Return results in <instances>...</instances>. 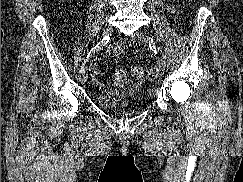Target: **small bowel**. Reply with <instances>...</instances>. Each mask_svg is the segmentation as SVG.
<instances>
[{"instance_id": "small-bowel-1", "label": "small bowel", "mask_w": 243, "mask_h": 182, "mask_svg": "<svg viewBox=\"0 0 243 182\" xmlns=\"http://www.w3.org/2000/svg\"><path fill=\"white\" fill-rule=\"evenodd\" d=\"M171 10H173V6H171ZM123 51L124 47L120 43H113L107 48V52L113 56H116L122 53ZM91 71L95 84L101 87L103 84L100 79V64L98 61L93 63ZM112 82L114 89L109 91L114 94L127 93L135 88V85L127 78L125 72L122 70H118L114 73Z\"/></svg>"}]
</instances>
